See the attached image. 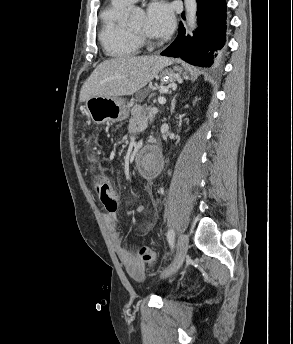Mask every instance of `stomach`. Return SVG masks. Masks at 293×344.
Segmentation results:
<instances>
[{"label":"stomach","mask_w":293,"mask_h":344,"mask_svg":"<svg viewBox=\"0 0 293 344\" xmlns=\"http://www.w3.org/2000/svg\"><path fill=\"white\" fill-rule=\"evenodd\" d=\"M186 77V73H184ZM163 83H173L181 80V71L175 73L165 69L160 73ZM89 117L96 124H107L122 121L128 117L125 101L120 97H92L85 103Z\"/></svg>","instance_id":"0dacf381"}]
</instances>
